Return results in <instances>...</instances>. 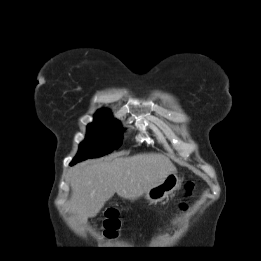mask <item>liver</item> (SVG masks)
Masks as SVG:
<instances>
[{"mask_svg":"<svg viewBox=\"0 0 261 261\" xmlns=\"http://www.w3.org/2000/svg\"><path fill=\"white\" fill-rule=\"evenodd\" d=\"M175 171L168 158L156 153L82 162L69 171L70 210L81 224H85L115 193L135 200Z\"/></svg>","mask_w":261,"mask_h":261,"instance_id":"1","label":"liver"}]
</instances>
